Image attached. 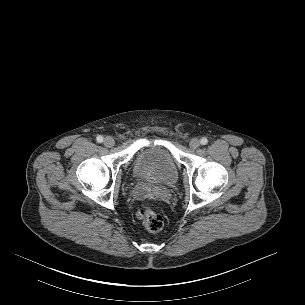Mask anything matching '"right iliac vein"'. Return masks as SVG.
I'll return each mask as SVG.
<instances>
[{
  "label": "right iliac vein",
  "mask_w": 305,
  "mask_h": 305,
  "mask_svg": "<svg viewBox=\"0 0 305 305\" xmlns=\"http://www.w3.org/2000/svg\"><path fill=\"white\" fill-rule=\"evenodd\" d=\"M114 144H115V141H114V139H113L112 137L107 136V137L104 139V145H105L106 147H112V146H114Z\"/></svg>",
  "instance_id": "right-iliac-vein-1"
}]
</instances>
